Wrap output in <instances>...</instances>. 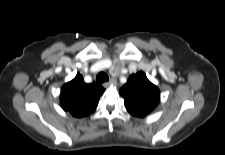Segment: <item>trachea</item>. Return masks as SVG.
Wrapping results in <instances>:
<instances>
[{"label": "trachea", "instance_id": "trachea-1", "mask_svg": "<svg viewBox=\"0 0 225 155\" xmlns=\"http://www.w3.org/2000/svg\"><path fill=\"white\" fill-rule=\"evenodd\" d=\"M108 80H109V77L104 72H100L96 76V82H97V84H101V83L107 82Z\"/></svg>", "mask_w": 225, "mask_h": 155}]
</instances>
